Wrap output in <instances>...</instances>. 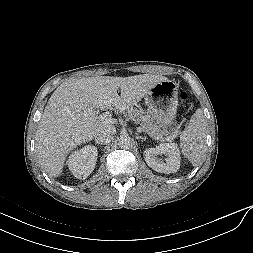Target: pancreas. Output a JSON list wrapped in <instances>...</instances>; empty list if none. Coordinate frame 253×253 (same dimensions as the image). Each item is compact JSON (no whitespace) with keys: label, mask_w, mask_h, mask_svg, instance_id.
Returning <instances> with one entry per match:
<instances>
[{"label":"pancreas","mask_w":253,"mask_h":253,"mask_svg":"<svg viewBox=\"0 0 253 253\" xmlns=\"http://www.w3.org/2000/svg\"><path fill=\"white\" fill-rule=\"evenodd\" d=\"M126 115L130 117L136 123H140L141 128L146 133H151L154 136L163 137V135L169 134L166 128H162L161 125H158L157 122L152 118V116L143 111L142 109L131 108L126 110ZM173 137L178 135V130L176 129L171 133Z\"/></svg>","instance_id":"1"}]
</instances>
